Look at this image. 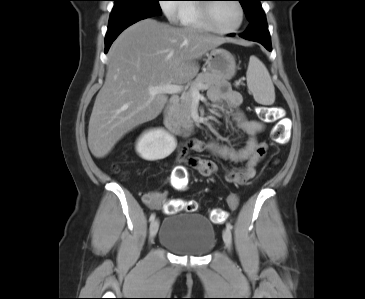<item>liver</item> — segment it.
I'll list each match as a JSON object with an SVG mask.
<instances>
[{
	"mask_svg": "<svg viewBox=\"0 0 365 299\" xmlns=\"http://www.w3.org/2000/svg\"><path fill=\"white\" fill-rule=\"evenodd\" d=\"M225 42L216 35L153 19L123 31L108 52L105 83L91 113V153L104 158L126 133L155 119L168 97L152 96L149 88L190 82L199 72L196 60Z\"/></svg>",
	"mask_w": 365,
	"mask_h": 299,
	"instance_id": "1",
	"label": "liver"
}]
</instances>
